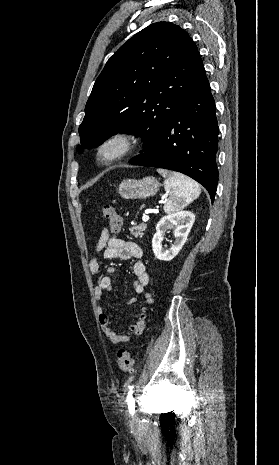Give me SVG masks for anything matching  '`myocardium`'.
<instances>
[{
	"mask_svg": "<svg viewBox=\"0 0 279 465\" xmlns=\"http://www.w3.org/2000/svg\"><path fill=\"white\" fill-rule=\"evenodd\" d=\"M139 136L132 130H118L107 135L98 145L96 155L99 162L111 164L121 160L130 154L137 146ZM117 145V150L110 156L105 155V150L111 146Z\"/></svg>",
	"mask_w": 279,
	"mask_h": 465,
	"instance_id": "f54148a6",
	"label": "myocardium"
}]
</instances>
